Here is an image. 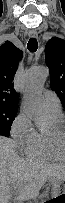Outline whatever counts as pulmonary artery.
<instances>
[{"label":"pulmonary artery","mask_w":65,"mask_h":203,"mask_svg":"<svg viewBox=\"0 0 65 203\" xmlns=\"http://www.w3.org/2000/svg\"><path fill=\"white\" fill-rule=\"evenodd\" d=\"M45 100L48 109L52 112H56L58 106L56 98L53 97L51 93L45 92Z\"/></svg>","instance_id":"obj_1"}]
</instances>
